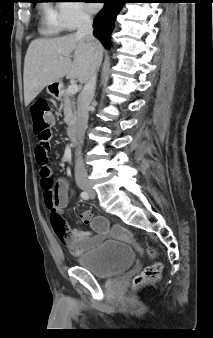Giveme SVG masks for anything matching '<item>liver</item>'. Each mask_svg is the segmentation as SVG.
I'll return each instance as SVG.
<instances>
[{"label":"liver","instance_id":"liver-1","mask_svg":"<svg viewBox=\"0 0 213 338\" xmlns=\"http://www.w3.org/2000/svg\"><path fill=\"white\" fill-rule=\"evenodd\" d=\"M102 50L97 40L92 42L76 34L32 41L24 61L25 105L28 106L46 86L64 76L86 83Z\"/></svg>","mask_w":213,"mask_h":338}]
</instances>
